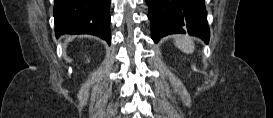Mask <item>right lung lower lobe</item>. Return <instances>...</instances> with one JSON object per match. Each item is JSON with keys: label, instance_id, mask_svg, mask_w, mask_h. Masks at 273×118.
<instances>
[{"label": "right lung lower lobe", "instance_id": "1", "mask_svg": "<svg viewBox=\"0 0 273 118\" xmlns=\"http://www.w3.org/2000/svg\"><path fill=\"white\" fill-rule=\"evenodd\" d=\"M111 0H55V34H91L111 43Z\"/></svg>", "mask_w": 273, "mask_h": 118}]
</instances>
